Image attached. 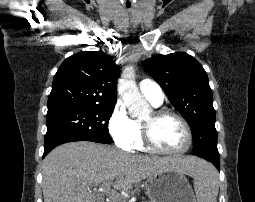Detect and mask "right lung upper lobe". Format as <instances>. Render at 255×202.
<instances>
[{
  "label": "right lung upper lobe",
  "instance_id": "1",
  "mask_svg": "<svg viewBox=\"0 0 255 202\" xmlns=\"http://www.w3.org/2000/svg\"><path fill=\"white\" fill-rule=\"evenodd\" d=\"M119 69L102 51L68 57L56 72L47 114L85 105H115Z\"/></svg>",
  "mask_w": 255,
  "mask_h": 202
}]
</instances>
